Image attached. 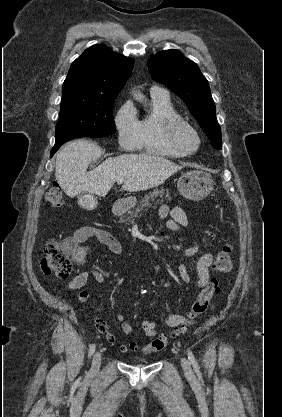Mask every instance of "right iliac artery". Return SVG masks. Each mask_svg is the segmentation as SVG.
<instances>
[{"label":"right iliac artery","instance_id":"right-iliac-artery-1","mask_svg":"<svg viewBox=\"0 0 282 417\" xmlns=\"http://www.w3.org/2000/svg\"><path fill=\"white\" fill-rule=\"evenodd\" d=\"M95 349H96L95 344H92V345L90 346V348H89V351H88V356H89V357H91V356L94 354Z\"/></svg>","mask_w":282,"mask_h":417}]
</instances>
